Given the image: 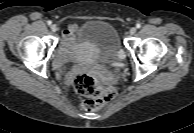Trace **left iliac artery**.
I'll use <instances>...</instances> for the list:
<instances>
[{
    "mask_svg": "<svg viewBox=\"0 0 194 133\" xmlns=\"http://www.w3.org/2000/svg\"><path fill=\"white\" fill-rule=\"evenodd\" d=\"M136 27H137V28H140V27H141V24H139V23L136 24Z\"/></svg>",
    "mask_w": 194,
    "mask_h": 133,
    "instance_id": "44dca946",
    "label": "left iliac artery"
}]
</instances>
